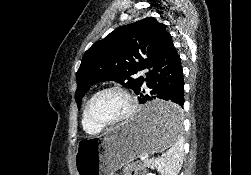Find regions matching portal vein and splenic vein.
<instances>
[{"label": "portal vein and splenic vein", "mask_w": 251, "mask_h": 175, "mask_svg": "<svg viewBox=\"0 0 251 175\" xmlns=\"http://www.w3.org/2000/svg\"><path fill=\"white\" fill-rule=\"evenodd\" d=\"M149 157L148 153H142L140 156L141 160H146ZM153 157H157V158H162L163 154L162 153H157V154H153Z\"/></svg>", "instance_id": "1"}]
</instances>
